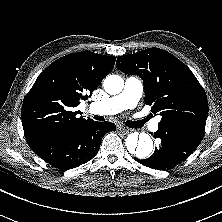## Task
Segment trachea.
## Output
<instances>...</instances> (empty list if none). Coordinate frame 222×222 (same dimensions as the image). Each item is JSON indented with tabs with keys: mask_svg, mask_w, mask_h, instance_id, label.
I'll return each mask as SVG.
<instances>
[{
	"mask_svg": "<svg viewBox=\"0 0 222 222\" xmlns=\"http://www.w3.org/2000/svg\"><path fill=\"white\" fill-rule=\"evenodd\" d=\"M94 119L99 120V121H103L104 117L102 116H94ZM146 120H140V121H129L127 122V125L131 128H140L143 126V124L145 123Z\"/></svg>",
	"mask_w": 222,
	"mask_h": 222,
	"instance_id": "3493384b",
	"label": "trachea"
}]
</instances>
